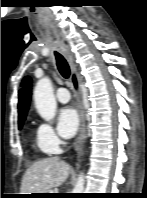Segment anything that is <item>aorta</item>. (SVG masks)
Instances as JSON below:
<instances>
[{"mask_svg":"<svg viewBox=\"0 0 147 198\" xmlns=\"http://www.w3.org/2000/svg\"><path fill=\"white\" fill-rule=\"evenodd\" d=\"M34 103L39 115L47 122H52L55 117L57 104L53 93L50 78L44 77L36 83L33 92ZM85 185L84 174L78 176L73 193H83Z\"/></svg>","mask_w":147,"mask_h":198,"instance_id":"aorta-1","label":"aorta"}]
</instances>
